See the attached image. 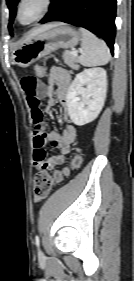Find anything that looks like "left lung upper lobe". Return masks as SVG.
Returning <instances> with one entry per match:
<instances>
[{
  "label": "left lung upper lobe",
  "mask_w": 134,
  "mask_h": 281,
  "mask_svg": "<svg viewBox=\"0 0 134 281\" xmlns=\"http://www.w3.org/2000/svg\"><path fill=\"white\" fill-rule=\"evenodd\" d=\"M18 2H19V0H7V5H8L9 10H10V19H9L10 33L12 32L11 25L13 23L15 15H16V5H17Z\"/></svg>",
  "instance_id": "obj_1"
}]
</instances>
